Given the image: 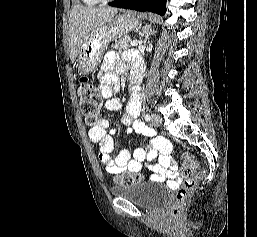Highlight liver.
<instances>
[{
  "label": "liver",
  "mask_w": 257,
  "mask_h": 237,
  "mask_svg": "<svg viewBox=\"0 0 257 237\" xmlns=\"http://www.w3.org/2000/svg\"><path fill=\"white\" fill-rule=\"evenodd\" d=\"M116 8L84 7L75 5L69 17V46L70 59L74 63L80 47L87 35L97 26L108 21L115 13Z\"/></svg>",
  "instance_id": "obj_1"
}]
</instances>
